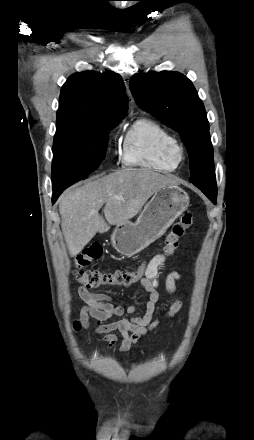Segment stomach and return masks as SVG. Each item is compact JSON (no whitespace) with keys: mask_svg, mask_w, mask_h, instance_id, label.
I'll return each instance as SVG.
<instances>
[{"mask_svg":"<svg viewBox=\"0 0 254 440\" xmlns=\"http://www.w3.org/2000/svg\"><path fill=\"white\" fill-rule=\"evenodd\" d=\"M188 194L176 185L159 188L145 205L136 222L117 225L112 246L125 256H133L160 238L188 207Z\"/></svg>","mask_w":254,"mask_h":440,"instance_id":"1","label":"stomach"}]
</instances>
